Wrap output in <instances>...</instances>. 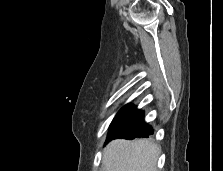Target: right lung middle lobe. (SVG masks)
Returning a JSON list of instances; mask_svg holds the SVG:
<instances>
[{
	"label": "right lung middle lobe",
	"mask_w": 223,
	"mask_h": 171,
	"mask_svg": "<svg viewBox=\"0 0 223 171\" xmlns=\"http://www.w3.org/2000/svg\"><path fill=\"white\" fill-rule=\"evenodd\" d=\"M133 106V104L129 103L125 106H123L119 112L116 114L115 118L113 119L111 126L118 121L131 107Z\"/></svg>",
	"instance_id": "right-lung-middle-lobe-1"
}]
</instances>
